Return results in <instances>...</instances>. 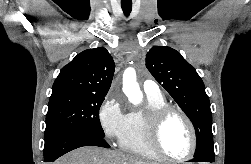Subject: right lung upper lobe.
Segmentation results:
<instances>
[{"label":"right lung upper lobe","instance_id":"cb5924a9","mask_svg":"<svg viewBox=\"0 0 251 164\" xmlns=\"http://www.w3.org/2000/svg\"><path fill=\"white\" fill-rule=\"evenodd\" d=\"M114 69V61L105 48L85 50L61 69L53 84L52 93L106 95L112 82Z\"/></svg>","mask_w":251,"mask_h":164}]
</instances>
